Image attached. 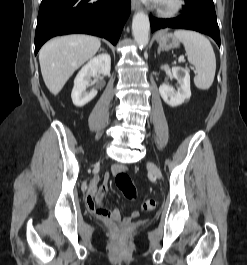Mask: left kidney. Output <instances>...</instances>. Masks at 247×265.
Returning <instances> with one entry per match:
<instances>
[{
  "instance_id": "left-kidney-1",
  "label": "left kidney",
  "mask_w": 247,
  "mask_h": 265,
  "mask_svg": "<svg viewBox=\"0 0 247 265\" xmlns=\"http://www.w3.org/2000/svg\"><path fill=\"white\" fill-rule=\"evenodd\" d=\"M164 67L165 66H162L161 68L163 69ZM172 74L180 84L178 91H175L173 87L162 84L159 87V93L168 105L176 107L183 104L191 97L190 75L189 71L182 67H172Z\"/></svg>"
}]
</instances>
